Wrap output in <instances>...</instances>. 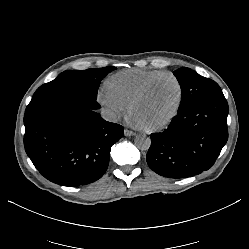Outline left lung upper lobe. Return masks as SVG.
Instances as JSON below:
<instances>
[{
  "mask_svg": "<svg viewBox=\"0 0 249 249\" xmlns=\"http://www.w3.org/2000/svg\"><path fill=\"white\" fill-rule=\"evenodd\" d=\"M181 85L182 97L178 110L188 107L200 99L223 96L220 86L213 80L205 78L189 68L182 67L174 71Z\"/></svg>",
  "mask_w": 249,
  "mask_h": 249,
  "instance_id": "obj_1",
  "label": "left lung upper lobe"
}]
</instances>
